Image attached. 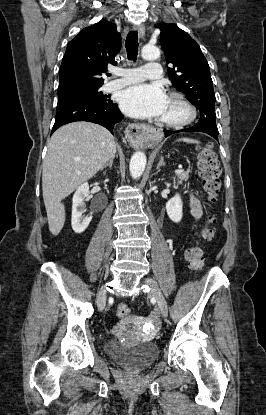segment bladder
<instances>
[{
  "mask_svg": "<svg viewBox=\"0 0 266 415\" xmlns=\"http://www.w3.org/2000/svg\"><path fill=\"white\" fill-rule=\"evenodd\" d=\"M104 350L110 358L132 370L148 367L159 353L158 346L153 342L126 345L116 338L109 339L104 345Z\"/></svg>",
  "mask_w": 266,
  "mask_h": 415,
  "instance_id": "1",
  "label": "bladder"
}]
</instances>
